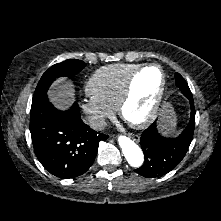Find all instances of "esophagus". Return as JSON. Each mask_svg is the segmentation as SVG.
I'll return each instance as SVG.
<instances>
[{
	"label": "esophagus",
	"mask_w": 221,
	"mask_h": 221,
	"mask_svg": "<svg viewBox=\"0 0 221 221\" xmlns=\"http://www.w3.org/2000/svg\"><path fill=\"white\" fill-rule=\"evenodd\" d=\"M128 135H129L130 138H132L135 142H139L140 137H139L138 135H135V134H132V133H129Z\"/></svg>",
	"instance_id": "esophagus-1"
}]
</instances>
